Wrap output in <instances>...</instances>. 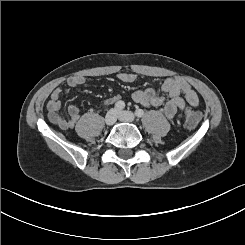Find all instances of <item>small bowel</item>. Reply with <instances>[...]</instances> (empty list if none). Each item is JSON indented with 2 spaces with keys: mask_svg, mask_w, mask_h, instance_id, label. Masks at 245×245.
Segmentation results:
<instances>
[{
  "mask_svg": "<svg viewBox=\"0 0 245 245\" xmlns=\"http://www.w3.org/2000/svg\"><path fill=\"white\" fill-rule=\"evenodd\" d=\"M118 79L123 83H132L136 80L133 73H119ZM85 83L83 76H72L67 79L70 88H76ZM162 95L158 94L153 88L136 90L132 94V99L146 107H159L164 105V113L168 119H174L183 112L186 103L195 107L199 104V97L189 83L180 77L173 76L164 80L161 85ZM62 89L55 88L47 103L48 119L63 130L72 129L80 118L79 110L74 105L67 108L68 117L60 115ZM183 96V97H182ZM120 101L118 95L112 96L104 101L105 104H116Z\"/></svg>",
  "mask_w": 245,
  "mask_h": 245,
  "instance_id": "1",
  "label": "small bowel"
}]
</instances>
